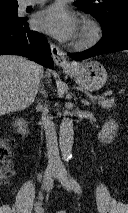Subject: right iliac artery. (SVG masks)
Segmentation results:
<instances>
[{"mask_svg": "<svg viewBox=\"0 0 128 213\" xmlns=\"http://www.w3.org/2000/svg\"><path fill=\"white\" fill-rule=\"evenodd\" d=\"M52 188H53V179L49 180V182H48L47 185H46L45 190H46L47 192H49ZM39 212L41 213V211H38V213H39Z\"/></svg>", "mask_w": 128, "mask_h": 213, "instance_id": "right-iliac-artery-1", "label": "right iliac artery"}]
</instances>
